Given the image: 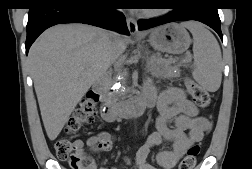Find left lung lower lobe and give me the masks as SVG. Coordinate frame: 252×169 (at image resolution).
Segmentation results:
<instances>
[{"mask_svg": "<svg viewBox=\"0 0 252 169\" xmlns=\"http://www.w3.org/2000/svg\"><path fill=\"white\" fill-rule=\"evenodd\" d=\"M174 10L169 14L149 20H139V30H146L162 24L195 20L202 22L214 29L223 40L221 22L218 15V7L214 0H176Z\"/></svg>", "mask_w": 252, "mask_h": 169, "instance_id": "0a47b994", "label": "left lung lower lobe"}]
</instances>
